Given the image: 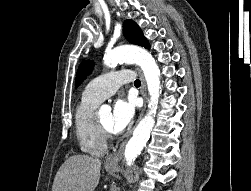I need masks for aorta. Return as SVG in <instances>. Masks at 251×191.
I'll list each match as a JSON object with an SVG mask.
<instances>
[{
    "instance_id": "1",
    "label": "aorta",
    "mask_w": 251,
    "mask_h": 191,
    "mask_svg": "<svg viewBox=\"0 0 251 191\" xmlns=\"http://www.w3.org/2000/svg\"><path fill=\"white\" fill-rule=\"evenodd\" d=\"M124 62L125 64L128 62V64H137V66H140L150 96L149 109L146 115L139 121L133 131L131 139L126 143L124 155L128 165H131L132 161L136 159L144 145H146L152 127H154V115L161 94L160 70L151 54H149L147 50H143V48H137V46H119V48H114L112 52H107L104 56V64H106V66L124 64Z\"/></svg>"
}]
</instances>
